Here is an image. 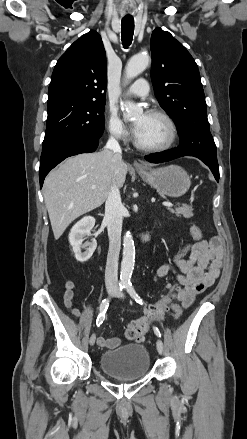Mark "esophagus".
Returning <instances> with one entry per match:
<instances>
[{
  "label": "esophagus",
  "mask_w": 247,
  "mask_h": 439,
  "mask_svg": "<svg viewBox=\"0 0 247 439\" xmlns=\"http://www.w3.org/2000/svg\"><path fill=\"white\" fill-rule=\"evenodd\" d=\"M134 167L136 169H144L145 165L142 162H140V161H134Z\"/></svg>",
  "instance_id": "obj_1"
}]
</instances>
